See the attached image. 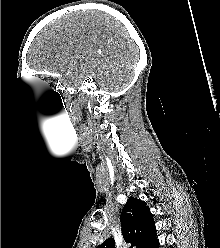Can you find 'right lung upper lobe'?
Returning <instances> with one entry per match:
<instances>
[{"mask_svg": "<svg viewBox=\"0 0 220 248\" xmlns=\"http://www.w3.org/2000/svg\"><path fill=\"white\" fill-rule=\"evenodd\" d=\"M120 222L123 238L131 243V248H150L157 241L153 214L144 201L130 197L122 210ZM97 248H115V241L109 238Z\"/></svg>", "mask_w": 220, "mask_h": 248, "instance_id": "cb5924a9", "label": "right lung upper lobe"}]
</instances>
